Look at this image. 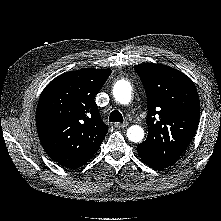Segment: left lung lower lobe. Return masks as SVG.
<instances>
[{
  "mask_svg": "<svg viewBox=\"0 0 221 221\" xmlns=\"http://www.w3.org/2000/svg\"><path fill=\"white\" fill-rule=\"evenodd\" d=\"M137 152H138L139 156L142 158V160L145 162V164H147L148 166H150L154 169L161 170V169L167 168L172 165L170 163L157 160V159L147 155L146 153L142 152L139 149H137Z\"/></svg>",
  "mask_w": 221,
  "mask_h": 221,
  "instance_id": "left-lung-lower-lobe-1",
  "label": "left lung lower lobe"
}]
</instances>
